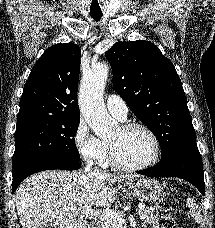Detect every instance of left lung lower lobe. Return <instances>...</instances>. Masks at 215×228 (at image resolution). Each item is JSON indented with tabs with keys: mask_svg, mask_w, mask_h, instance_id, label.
I'll return each instance as SVG.
<instances>
[{
	"mask_svg": "<svg viewBox=\"0 0 215 228\" xmlns=\"http://www.w3.org/2000/svg\"><path fill=\"white\" fill-rule=\"evenodd\" d=\"M137 173L149 177H179L193 184L205 195L202 158L196 142L174 150L155 166Z\"/></svg>",
	"mask_w": 215,
	"mask_h": 228,
	"instance_id": "left-lung-lower-lobe-1",
	"label": "left lung lower lobe"
}]
</instances>
